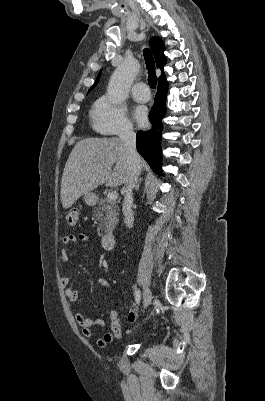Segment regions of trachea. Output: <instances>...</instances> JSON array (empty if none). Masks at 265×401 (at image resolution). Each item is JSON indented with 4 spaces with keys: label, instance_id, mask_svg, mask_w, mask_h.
Instances as JSON below:
<instances>
[{
    "label": "trachea",
    "instance_id": "obj_1",
    "mask_svg": "<svg viewBox=\"0 0 265 401\" xmlns=\"http://www.w3.org/2000/svg\"><path fill=\"white\" fill-rule=\"evenodd\" d=\"M144 59L148 70V84L151 88H156L157 76L155 75V63L151 51L148 48L144 49Z\"/></svg>",
    "mask_w": 265,
    "mask_h": 401
}]
</instances>
